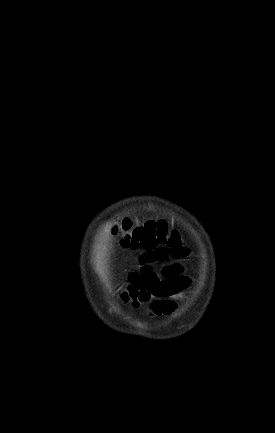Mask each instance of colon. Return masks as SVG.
I'll return each mask as SVG.
<instances>
[{
    "label": "colon",
    "instance_id": "obj_1",
    "mask_svg": "<svg viewBox=\"0 0 275 433\" xmlns=\"http://www.w3.org/2000/svg\"><path fill=\"white\" fill-rule=\"evenodd\" d=\"M113 231L121 236V244L129 249H150L158 245L168 247L167 256L179 257L184 255L181 239L171 231L163 221H148L135 225L128 218H117Z\"/></svg>",
    "mask_w": 275,
    "mask_h": 433
}]
</instances>
